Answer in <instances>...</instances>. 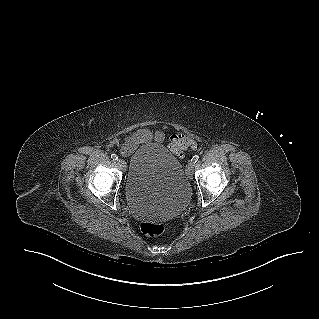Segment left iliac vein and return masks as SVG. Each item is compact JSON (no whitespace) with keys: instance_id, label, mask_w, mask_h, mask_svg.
I'll return each mask as SVG.
<instances>
[{"instance_id":"obj_1","label":"left iliac vein","mask_w":319,"mask_h":319,"mask_svg":"<svg viewBox=\"0 0 319 319\" xmlns=\"http://www.w3.org/2000/svg\"><path fill=\"white\" fill-rule=\"evenodd\" d=\"M193 170H194V163L190 161L186 166V174L189 179H192L193 177Z\"/></svg>"}]
</instances>
